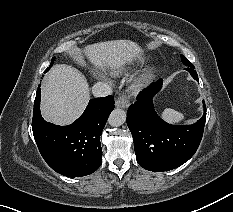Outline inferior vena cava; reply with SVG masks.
<instances>
[{
	"label": "inferior vena cava",
	"instance_id": "obj_1",
	"mask_svg": "<svg viewBox=\"0 0 233 212\" xmlns=\"http://www.w3.org/2000/svg\"><path fill=\"white\" fill-rule=\"evenodd\" d=\"M92 93L95 97H106L112 94L111 87L105 82H98L92 87Z\"/></svg>",
	"mask_w": 233,
	"mask_h": 212
}]
</instances>
